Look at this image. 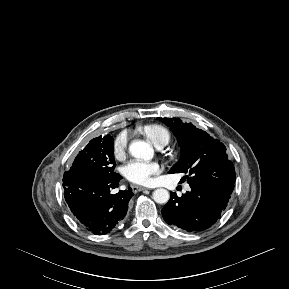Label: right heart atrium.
<instances>
[{"mask_svg":"<svg viewBox=\"0 0 289 289\" xmlns=\"http://www.w3.org/2000/svg\"><path fill=\"white\" fill-rule=\"evenodd\" d=\"M129 143V135L126 131L119 133L113 142V151L117 158L122 159L125 156Z\"/></svg>","mask_w":289,"mask_h":289,"instance_id":"obj_1","label":"right heart atrium"}]
</instances>
